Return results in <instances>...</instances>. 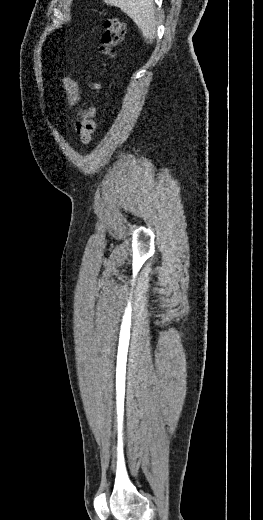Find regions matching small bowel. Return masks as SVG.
<instances>
[{
    "mask_svg": "<svg viewBox=\"0 0 263 520\" xmlns=\"http://www.w3.org/2000/svg\"><path fill=\"white\" fill-rule=\"evenodd\" d=\"M62 83L67 93L69 103L72 105L76 104L80 98L79 89L76 82L71 78L65 77L63 78Z\"/></svg>",
    "mask_w": 263,
    "mask_h": 520,
    "instance_id": "c3829d8e",
    "label": "small bowel"
}]
</instances>
